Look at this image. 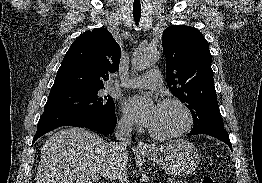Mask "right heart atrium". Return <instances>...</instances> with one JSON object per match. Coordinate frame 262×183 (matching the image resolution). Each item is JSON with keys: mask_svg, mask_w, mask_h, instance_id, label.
I'll return each instance as SVG.
<instances>
[{"mask_svg": "<svg viewBox=\"0 0 262 183\" xmlns=\"http://www.w3.org/2000/svg\"><path fill=\"white\" fill-rule=\"evenodd\" d=\"M119 127L124 131H129L133 127L132 119L127 115H122L118 122Z\"/></svg>", "mask_w": 262, "mask_h": 183, "instance_id": "right-heart-atrium-1", "label": "right heart atrium"}]
</instances>
